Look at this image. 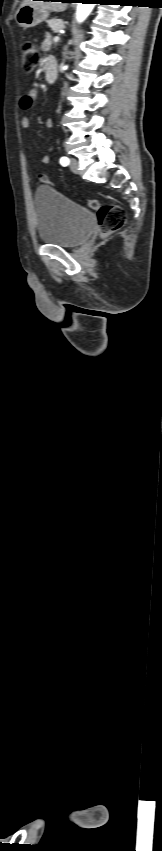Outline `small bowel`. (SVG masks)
<instances>
[{"instance_id": "c3829d8e", "label": "small bowel", "mask_w": 162, "mask_h": 851, "mask_svg": "<svg viewBox=\"0 0 162 851\" xmlns=\"http://www.w3.org/2000/svg\"><path fill=\"white\" fill-rule=\"evenodd\" d=\"M49 45H50V40H49V39H46V40L44 41V43H43L44 48H48V47H49ZM50 58H52V57H50ZM37 96H38V94H37V91H36V90H34V89L29 90V91L27 92V94H25V95L21 98V100H20V107H21V109H23V110H25V111L30 110V109H31V107H32V105H33V103H34V102H35V100L37 99ZM52 124H53V121H52L51 119H49V120L46 122V127H51V126H52ZM21 126H22L24 129H26V130H27V129H29V127H30V118H29L28 116H24V117H22V119H21ZM41 161H42V163H43V164L47 165V164H49V163H50V158H49V156H43Z\"/></svg>"}]
</instances>
